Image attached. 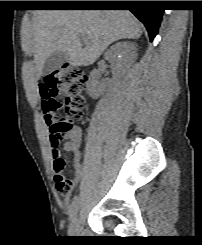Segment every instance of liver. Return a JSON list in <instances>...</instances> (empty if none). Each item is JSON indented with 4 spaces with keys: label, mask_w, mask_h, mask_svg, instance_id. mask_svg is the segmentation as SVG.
Returning <instances> with one entry per match:
<instances>
[{
    "label": "liver",
    "mask_w": 202,
    "mask_h": 245,
    "mask_svg": "<svg viewBox=\"0 0 202 245\" xmlns=\"http://www.w3.org/2000/svg\"><path fill=\"white\" fill-rule=\"evenodd\" d=\"M141 34L139 22L127 10H37L32 24L22 30V48L34 54L41 75L45 61L55 51L66 53L74 66H88L113 42L138 39Z\"/></svg>",
    "instance_id": "liver-1"
}]
</instances>
